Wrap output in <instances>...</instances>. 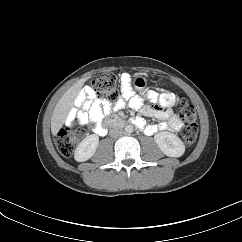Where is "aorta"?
<instances>
[{
  "instance_id": "obj_1",
  "label": "aorta",
  "mask_w": 242,
  "mask_h": 242,
  "mask_svg": "<svg viewBox=\"0 0 242 242\" xmlns=\"http://www.w3.org/2000/svg\"><path fill=\"white\" fill-rule=\"evenodd\" d=\"M133 132V126L132 125H127L125 127V133L131 134Z\"/></svg>"
}]
</instances>
